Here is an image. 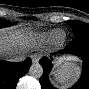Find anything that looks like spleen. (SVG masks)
I'll return each instance as SVG.
<instances>
[{
	"instance_id": "1",
	"label": "spleen",
	"mask_w": 89,
	"mask_h": 89,
	"mask_svg": "<svg viewBox=\"0 0 89 89\" xmlns=\"http://www.w3.org/2000/svg\"><path fill=\"white\" fill-rule=\"evenodd\" d=\"M80 74V67L73 62H67L53 71L54 81L63 88L73 85L78 80Z\"/></svg>"
}]
</instances>
